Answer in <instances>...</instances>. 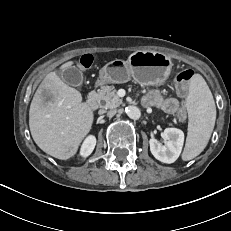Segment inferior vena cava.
I'll list each match as a JSON object with an SVG mask.
<instances>
[{
	"label": "inferior vena cava",
	"mask_w": 231,
	"mask_h": 231,
	"mask_svg": "<svg viewBox=\"0 0 231 231\" xmlns=\"http://www.w3.org/2000/svg\"><path fill=\"white\" fill-rule=\"evenodd\" d=\"M117 113L116 109H111L107 112L108 117H113Z\"/></svg>",
	"instance_id": "inferior-vena-cava-1"
}]
</instances>
